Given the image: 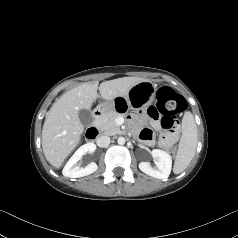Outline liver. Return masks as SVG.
<instances>
[{"label": "liver", "mask_w": 238, "mask_h": 238, "mask_svg": "<svg viewBox=\"0 0 238 238\" xmlns=\"http://www.w3.org/2000/svg\"><path fill=\"white\" fill-rule=\"evenodd\" d=\"M143 81L148 80L123 77L100 85L97 81L88 82L63 94L46 113L42 129V148L46 160L59 168L77 146L84 131L78 113L82 109L91 108L98 98V89L103 99L111 101L126 96L134 85Z\"/></svg>", "instance_id": "6515ba94"}]
</instances>
